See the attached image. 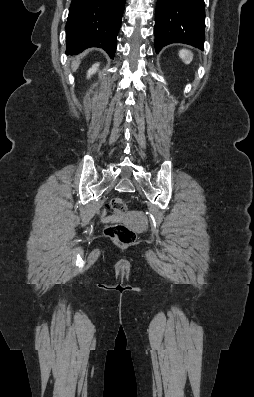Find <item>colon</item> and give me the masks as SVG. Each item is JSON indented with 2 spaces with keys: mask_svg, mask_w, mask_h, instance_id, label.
<instances>
[{
  "mask_svg": "<svg viewBox=\"0 0 254 397\" xmlns=\"http://www.w3.org/2000/svg\"><path fill=\"white\" fill-rule=\"evenodd\" d=\"M110 208L113 212L121 214L126 212L127 204L122 198H113L110 202ZM105 234L114 242L121 245H130L136 240L135 232L123 224L108 226L105 229Z\"/></svg>",
  "mask_w": 254,
  "mask_h": 397,
  "instance_id": "obj_1",
  "label": "colon"
}]
</instances>
